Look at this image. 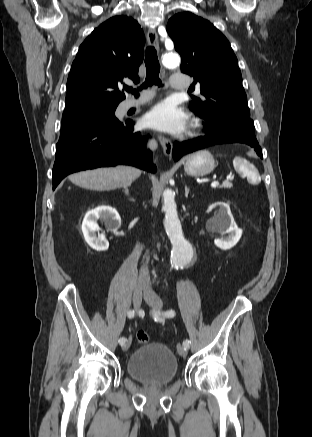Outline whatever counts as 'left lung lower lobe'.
Here are the masks:
<instances>
[{
  "instance_id": "0a47b994",
  "label": "left lung lower lobe",
  "mask_w": 312,
  "mask_h": 437,
  "mask_svg": "<svg viewBox=\"0 0 312 437\" xmlns=\"http://www.w3.org/2000/svg\"><path fill=\"white\" fill-rule=\"evenodd\" d=\"M208 134L203 137H199L190 141H184L182 143H175L173 146V159L177 161L183 155L191 153L205 147L222 144V143H243L254 148L257 154L263 158L261 147L257 140L247 141L234 135L229 129L225 127H213L207 126Z\"/></svg>"
}]
</instances>
